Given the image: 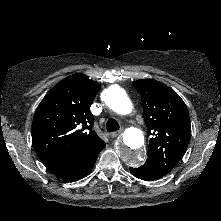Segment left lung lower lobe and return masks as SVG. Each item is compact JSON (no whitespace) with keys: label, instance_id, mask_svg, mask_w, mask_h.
<instances>
[{"label":"left lung lower lobe","instance_id":"left-lung-lower-lobe-1","mask_svg":"<svg viewBox=\"0 0 221 221\" xmlns=\"http://www.w3.org/2000/svg\"><path fill=\"white\" fill-rule=\"evenodd\" d=\"M130 172L133 176L146 181L157 180L166 175L151 161H146L139 168H130Z\"/></svg>","mask_w":221,"mask_h":221}]
</instances>
